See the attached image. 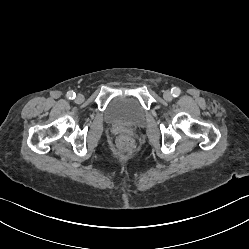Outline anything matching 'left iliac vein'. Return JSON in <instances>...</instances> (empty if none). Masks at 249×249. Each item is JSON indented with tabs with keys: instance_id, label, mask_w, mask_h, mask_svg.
<instances>
[{
	"instance_id": "left-iliac-vein-1",
	"label": "left iliac vein",
	"mask_w": 249,
	"mask_h": 249,
	"mask_svg": "<svg viewBox=\"0 0 249 249\" xmlns=\"http://www.w3.org/2000/svg\"><path fill=\"white\" fill-rule=\"evenodd\" d=\"M163 97L166 101H171L173 99L172 93L170 91H165Z\"/></svg>"
}]
</instances>
